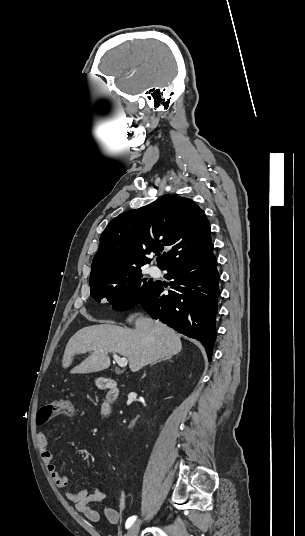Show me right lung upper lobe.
<instances>
[{"instance_id":"cb5924a9","label":"right lung upper lobe","mask_w":305,"mask_h":536,"mask_svg":"<svg viewBox=\"0 0 305 536\" xmlns=\"http://www.w3.org/2000/svg\"><path fill=\"white\" fill-rule=\"evenodd\" d=\"M212 245L206 215L191 199L164 195L139 209L113 219L100 237V247L92 261L90 282L139 270L159 255L157 266L193 256Z\"/></svg>"}]
</instances>
